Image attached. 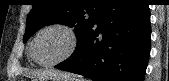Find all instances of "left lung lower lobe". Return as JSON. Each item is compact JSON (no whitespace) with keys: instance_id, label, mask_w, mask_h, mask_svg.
<instances>
[{"instance_id":"left-lung-lower-lobe-1","label":"left lung lower lobe","mask_w":169,"mask_h":81,"mask_svg":"<svg viewBox=\"0 0 169 81\" xmlns=\"http://www.w3.org/2000/svg\"><path fill=\"white\" fill-rule=\"evenodd\" d=\"M150 36L144 0H108L71 57L55 67L95 81H143Z\"/></svg>"}]
</instances>
